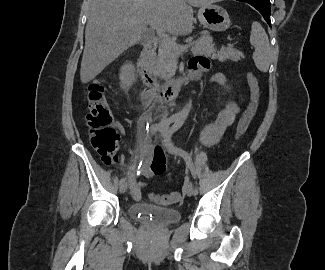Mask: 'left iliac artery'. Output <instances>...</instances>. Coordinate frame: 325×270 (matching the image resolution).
Listing matches in <instances>:
<instances>
[{
  "label": "left iliac artery",
  "instance_id": "obj_1",
  "mask_svg": "<svg viewBox=\"0 0 325 270\" xmlns=\"http://www.w3.org/2000/svg\"><path fill=\"white\" fill-rule=\"evenodd\" d=\"M181 125H182L181 122L177 121L172 125V127L168 131L167 139L169 141V147L175 154L181 155L186 160V163L189 166L193 177L195 178L196 173H195V169H194V165H193L191 156L185 150L175 146L171 141L172 135L181 127ZM197 193H198V189H197V187H195L194 194H197Z\"/></svg>",
  "mask_w": 325,
  "mask_h": 270
}]
</instances>
